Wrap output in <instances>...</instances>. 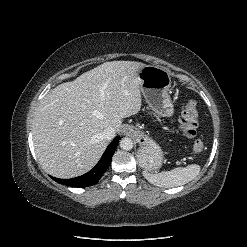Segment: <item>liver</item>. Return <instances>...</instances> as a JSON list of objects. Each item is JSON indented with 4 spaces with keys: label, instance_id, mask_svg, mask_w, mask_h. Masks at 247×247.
Returning a JSON list of instances; mask_svg holds the SVG:
<instances>
[{
    "label": "liver",
    "instance_id": "1",
    "mask_svg": "<svg viewBox=\"0 0 247 247\" xmlns=\"http://www.w3.org/2000/svg\"><path fill=\"white\" fill-rule=\"evenodd\" d=\"M135 61L105 62L52 89L39 103L32 125L35 153L50 175L72 178L88 172L108 145L102 132H120L122 120L141 109Z\"/></svg>",
    "mask_w": 247,
    "mask_h": 247
}]
</instances>
